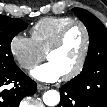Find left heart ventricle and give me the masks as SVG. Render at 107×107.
<instances>
[{
	"label": "left heart ventricle",
	"mask_w": 107,
	"mask_h": 107,
	"mask_svg": "<svg viewBox=\"0 0 107 107\" xmlns=\"http://www.w3.org/2000/svg\"><path fill=\"white\" fill-rule=\"evenodd\" d=\"M84 46V33L81 28H73L67 35L63 46L47 57L62 71L63 75L74 69Z\"/></svg>",
	"instance_id": "b2bd125f"
}]
</instances>
